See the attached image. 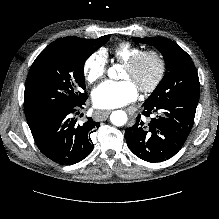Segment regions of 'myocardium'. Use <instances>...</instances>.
Here are the masks:
<instances>
[{
	"label": "myocardium",
	"mask_w": 219,
	"mask_h": 219,
	"mask_svg": "<svg viewBox=\"0 0 219 219\" xmlns=\"http://www.w3.org/2000/svg\"><path fill=\"white\" fill-rule=\"evenodd\" d=\"M148 57H152L156 60L157 72L153 81L150 84L138 88L139 91L143 94L153 93L162 83L167 70V63L165 57L160 51L155 49L142 50L131 60L124 63V67L126 69H128L129 71H135L142 63V61H144Z\"/></svg>",
	"instance_id": "1"
}]
</instances>
